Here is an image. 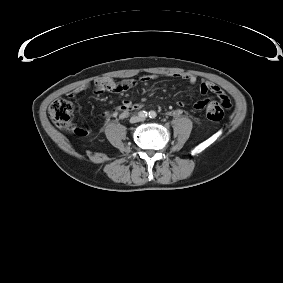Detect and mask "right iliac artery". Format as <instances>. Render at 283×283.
Returning <instances> with one entry per match:
<instances>
[{
	"label": "right iliac artery",
	"instance_id": "1",
	"mask_svg": "<svg viewBox=\"0 0 283 283\" xmlns=\"http://www.w3.org/2000/svg\"><path fill=\"white\" fill-rule=\"evenodd\" d=\"M138 115H139V117H141V118H146L147 115H148V113H147L146 111H140V112L138 113Z\"/></svg>",
	"mask_w": 283,
	"mask_h": 283
}]
</instances>
